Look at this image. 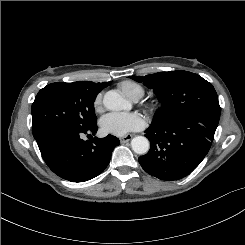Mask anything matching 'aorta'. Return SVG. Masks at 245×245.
Returning a JSON list of instances; mask_svg holds the SVG:
<instances>
[{"instance_id":"1","label":"aorta","mask_w":245,"mask_h":245,"mask_svg":"<svg viewBox=\"0 0 245 245\" xmlns=\"http://www.w3.org/2000/svg\"><path fill=\"white\" fill-rule=\"evenodd\" d=\"M104 106L112 111H120L126 107V101L124 98L115 90H110L105 93L103 98ZM132 150L139 154L144 155L148 152L150 143L144 136H137L131 140Z\"/></svg>"}]
</instances>
